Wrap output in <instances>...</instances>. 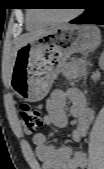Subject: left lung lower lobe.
Returning a JSON list of instances; mask_svg holds the SVG:
<instances>
[{
	"mask_svg": "<svg viewBox=\"0 0 104 169\" xmlns=\"http://www.w3.org/2000/svg\"><path fill=\"white\" fill-rule=\"evenodd\" d=\"M86 12L71 21L72 24H104V8L99 0H92L88 3Z\"/></svg>",
	"mask_w": 104,
	"mask_h": 169,
	"instance_id": "0a47b994",
	"label": "left lung lower lobe"
}]
</instances>
